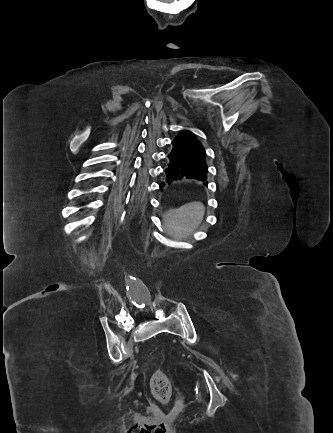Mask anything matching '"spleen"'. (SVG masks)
Listing matches in <instances>:
<instances>
[{
  "instance_id": "3e777b00",
  "label": "spleen",
  "mask_w": 333,
  "mask_h": 433,
  "mask_svg": "<svg viewBox=\"0 0 333 433\" xmlns=\"http://www.w3.org/2000/svg\"><path fill=\"white\" fill-rule=\"evenodd\" d=\"M204 214L205 208L201 203L170 207L165 213V231L174 239L180 240L198 228Z\"/></svg>"
}]
</instances>
